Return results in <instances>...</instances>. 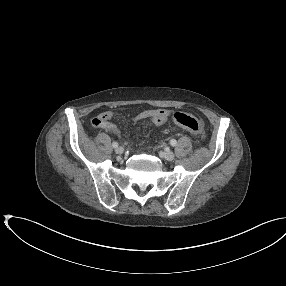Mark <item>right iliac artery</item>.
<instances>
[{
    "label": "right iliac artery",
    "mask_w": 286,
    "mask_h": 286,
    "mask_svg": "<svg viewBox=\"0 0 286 286\" xmlns=\"http://www.w3.org/2000/svg\"><path fill=\"white\" fill-rule=\"evenodd\" d=\"M112 146H113L114 148H116V147H118V143H117V142H113V143H112Z\"/></svg>",
    "instance_id": "1"
}]
</instances>
